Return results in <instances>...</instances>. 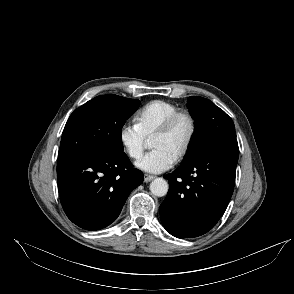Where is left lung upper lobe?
<instances>
[{
	"instance_id": "obj_1",
	"label": "left lung upper lobe",
	"mask_w": 294,
	"mask_h": 294,
	"mask_svg": "<svg viewBox=\"0 0 294 294\" xmlns=\"http://www.w3.org/2000/svg\"><path fill=\"white\" fill-rule=\"evenodd\" d=\"M187 105L191 116L195 119L196 132L183 163L189 162L220 139L236 137L232 119L212 101L192 96L188 98Z\"/></svg>"
}]
</instances>
